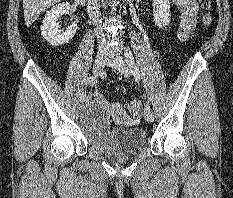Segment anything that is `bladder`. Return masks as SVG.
<instances>
[{
	"label": "bladder",
	"mask_w": 233,
	"mask_h": 198,
	"mask_svg": "<svg viewBox=\"0 0 233 198\" xmlns=\"http://www.w3.org/2000/svg\"><path fill=\"white\" fill-rule=\"evenodd\" d=\"M80 127L92 147L113 158L133 155L147 142V133L142 127L111 128L108 109L98 101L81 112Z\"/></svg>",
	"instance_id": "bladder-1"
}]
</instances>
